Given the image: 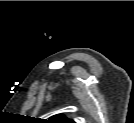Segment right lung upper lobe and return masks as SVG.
Segmentation results:
<instances>
[{
	"label": "right lung upper lobe",
	"mask_w": 134,
	"mask_h": 123,
	"mask_svg": "<svg viewBox=\"0 0 134 123\" xmlns=\"http://www.w3.org/2000/svg\"><path fill=\"white\" fill-rule=\"evenodd\" d=\"M51 122L56 123H74L71 119L65 118L63 115H55L49 119Z\"/></svg>",
	"instance_id": "right-lung-upper-lobe-1"
}]
</instances>
